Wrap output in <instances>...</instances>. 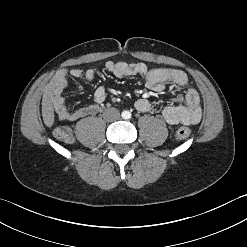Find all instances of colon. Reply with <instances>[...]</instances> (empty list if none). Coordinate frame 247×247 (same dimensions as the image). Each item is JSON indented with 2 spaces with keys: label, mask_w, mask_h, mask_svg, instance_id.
Wrapping results in <instances>:
<instances>
[{
  "label": "colon",
  "mask_w": 247,
  "mask_h": 247,
  "mask_svg": "<svg viewBox=\"0 0 247 247\" xmlns=\"http://www.w3.org/2000/svg\"><path fill=\"white\" fill-rule=\"evenodd\" d=\"M54 136L64 142H71L73 140L72 131L67 126H57L53 130ZM191 135V130L187 127H181L175 132L177 140H185Z\"/></svg>",
  "instance_id": "colon-1"
}]
</instances>
